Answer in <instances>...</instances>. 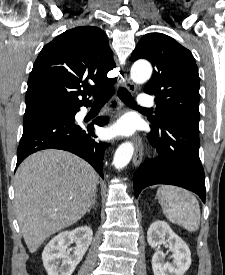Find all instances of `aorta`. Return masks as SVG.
Listing matches in <instances>:
<instances>
[{
  "mask_svg": "<svg viewBox=\"0 0 225 275\" xmlns=\"http://www.w3.org/2000/svg\"><path fill=\"white\" fill-rule=\"evenodd\" d=\"M152 75V67L146 61H138L133 64L130 76L138 84L145 83ZM134 152L132 143L125 142L121 144L115 152L113 164L115 168L122 169L130 162Z\"/></svg>",
  "mask_w": 225,
  "mask_h": 275,
  "instance_id": "obj_1",
  "label": "aorta"
}]
</instances>
